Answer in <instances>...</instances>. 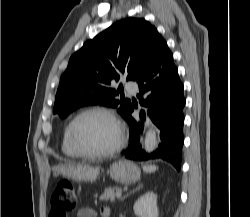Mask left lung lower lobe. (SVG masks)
I'll return each instance as SVG.
<instances>
[{
	"instance_id": "1",
	"label": "left lung lower lobe",
	"mask_w": 250,
	"mask_h": 217,
	"mask_svg": "<svg viewBox=\"0 0 250 217\" xmlns=\"http://www.w3.org/2000/svg\"><path fill=\"white\" fill-rule=\"evenodd\" d=\"M135 81L139 84L138 97L144 109L139 110L140 119H135L131 113L136 105L131 104L124 118L130 126V144L124 152L125 156L140 161L161 158L173 164L179 171L184 142L185 99L173 55L164 39L160 42L150 66ZM147 118H151L161 131V143L152 153H146L141 148L140 138Z\"/></svg>"
}]
</instances>
